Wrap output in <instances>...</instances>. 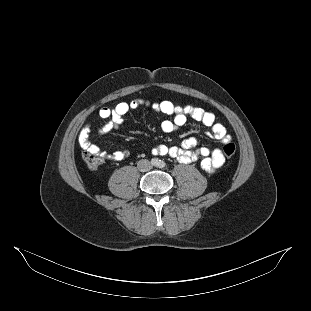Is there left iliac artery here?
<instances>
[{"instance_id": "44dca946", "label": "left iliac artery", "mask_w": 311, "mask_h": 311, "mask_svg": "<svg viewBox=\"0 0 311 311\" xmlns=\"http://www.w3.org/2000/svg\"><path fill=\"white\" fill-rule=\"evenodd\" d=\"M165 165H166V163H165L164 161H159L158 166H159L160 168H164Z\"/></svg>"}]
</instances>
